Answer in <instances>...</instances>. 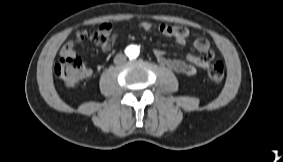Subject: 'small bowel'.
<instances>
[{"instance_id": "small-bowel-1", "label": "small bowel", "mask_w": 283, "mask_h": 162, "mask_svg": "<svg viewBox=\"0 0 283 162\" xmlns=\"http://www.w3.org/2000/svg\"><path fill=\"white\" fill-rule=\"evenodd\" d=\"M139 28L144 31H150L153 28V23L150 21H141L138 24ZM158 31L167 37L173 38L178 44H186L190 37L188 29L175 25L160 24ZM84 38L94 40L101 49L104 51L110 50L115 44L118 43V37L113 33V26L111 23H103L101 26L94 30L78 31L73 40L68 41L62 48L61 54L63 56H75V45L80 43ZM194 48L200 53L199 55L187 54L185 60L177 58L166 57L164 51L155 49L153 51L157 61L174 72L192 78L196 76L198 70L207 69L210 65L214 54L210 49V43L206 38L199 37L194 41Z\"/></svg>"}]
</instances>
